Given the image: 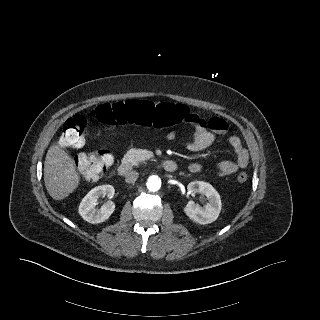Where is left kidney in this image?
I'll return each instance as SVG.
<instances>
[{"label":"left kidney","mask_w":320,"mask_h":320,"mask_svg":"<svg viewBox=\"0 0 320 320\" xmlns=\"http://www.w3.org/2000/svg\"><path fill=\"white\" fill-rule=\"evenodd\" d=\"M191 194L201 193L207 197V204L203 207L194 201H189L184 208L186 215L196 223L205 225L214 222L221 211L222 204L219 193L215 188L204 181H193L187 186Z\"/></svg>","instance_id":"obj_1"}]
</instances>
